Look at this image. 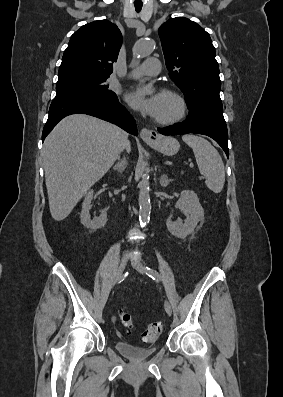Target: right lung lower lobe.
<instances>
[{
  "instance_id": "obj_1",
  "label": "right lung lower lobe",
  "mask_w": 283,
  "mask_h": 397,
  "mask_svg": "<svg viewBox=\"0 0 283 397\" xmlns=\"http://www.w3.org/2000/svg\"><path fill=\"white\" fill-rule=\"evenodd\" d=\"M77 113L98 117L116 124L130 134L137 135L135 120L118 100L110 101L86 94H69L53 99L43 129L42 141L61 119Z\"/></svg>"
}]
</instances>
